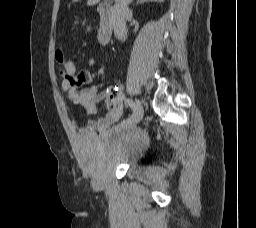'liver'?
Instances as JSON below:
<instances>
[{"label":"liver","mask_w":256,"mask_h":228,"mask_svg":"<svg viewBox=\"0 0 256 228\" xmlns=\"http://www.w3.org/2000/svg\"><path fill=\"white\" fill-rule=\"evenodd\" d=\"M100 0H88L87 1V5H95V4H97L98 2H99ZM117 1V0H116ZM147 1H160V2H162V1H164V0H143V2H147Z\"/></svg>","instance_id":"1"}]
</instances>
